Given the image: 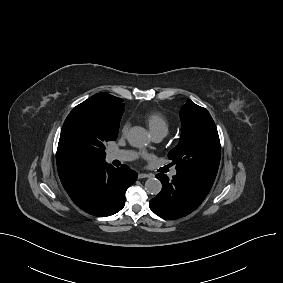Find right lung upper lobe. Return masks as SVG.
<instances>
[{"label": "right lung upper lobe", "mask_w": 283, "mask_h": 283, "mask_svg": "<svg viewBox=\"0 0 283 283\" xmlns=\"http://www.w3.org/2000/svg\"><path fill=\"white\" fill-rule=\"evenodd\" d=\"M108 96H112L110 94L107 93H98L93 95L92 97H108ZM114 97V96H112ZM57 169H58V174L60 177V180H64L65 178H67L71 173H73L76 170H79L81 168H77L74 166H62V165H57Z\"/></svg>", "instance_id": "1"}]
</instances>
